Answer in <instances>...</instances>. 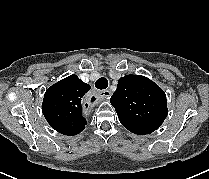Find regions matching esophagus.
<instances>
[{
    "label": "esophagus",
    "instance_id": "esophagus-1",
    "mask_svg": "<svg viewBox=\"0 0 209 179\" xmlns=\"http://www.w3.org/2000/svg\"><path fill=\"white\" fill-rule=\"evenodd\" d=\"M111 97V91L109 89L92 91L85 96V103L88 106H95L98 101H102L104 99H109Z\"/></svg>",
    "mask_w": 209,
    "mask_h": 179
}]
</instances>
